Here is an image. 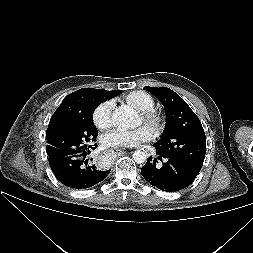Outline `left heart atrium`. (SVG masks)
Returning a JSON list of instances; mask_svg holds the SVG:
<instances>
[{"mask_svg": "<svg viewBox=\"0 0 253 253\" xmlns=\"http://www.w3.org/2000/svg\"><path fill=\"white\" fill-rule=\"evenodd\" d=\"M152 137V129L144 125L132 130H111L102 136L101 141L106 147H134L150 141Z\"/></svg>", "mask_w": 253, "mask_h": 253, "instance_id": "obj_1", "label": "left heart atrium"}]
</instances>
